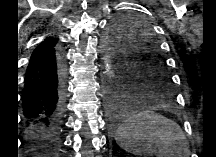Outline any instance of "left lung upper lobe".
I'll return each instance as SVG.
<instances>
[{"label": "left lung upper lobe", "mask_w": 216, "mask_h": 157, "mask_svg": "<svg viewBox=\"0 0 216 157\" xmlns=\"http://www.w3.org/2000/svg\"><path fill=\"white\" fill-rule=\"evenodd\" d=\"M104 46L115 65L113 85L124 77L133 95L172 96L173 81L159 42L140 17L127 14L114 19L105 31Z\"/></svg>", "instance_id": "1"}]
</instances>
